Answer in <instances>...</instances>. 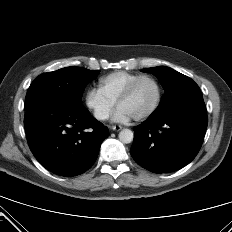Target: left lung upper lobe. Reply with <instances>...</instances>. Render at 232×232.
I'll return each mask as SVG.
<instances>
[{"instance_id":"1","label":"left lung upper lobe","mask_w":232,"mask_h":232,"mask_svg":"<svg viewBox=\"0 0 232 232\" xmlns=\"http://www.w3.org/2000/svg\"><path fill=\"white\" fill-rule=\"evenodd\" d=\"M142 71L152 73L158 77L165 90L163 99L154 114L163 112L170 105L186 97L200 93V88L191 78L169 67L145 68Z\"/></svg>"}]
</instances>
